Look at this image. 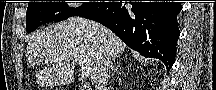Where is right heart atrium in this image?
<instances>
[{"label":"right heart atrium","mask_w":216,"mask_h":90,"mask_svg":"<svg viewBox=\"0 0 216 90\" xmlns=\"http://www.w3.org/2000/svg\"><path fill=\"white\" fill-rule=\"evenodd\" d=\"M73 6H70L71 10H85L86 6H82L83 2H72Z\"/></svg>","instance_id":"d8ad5b80"}]
</instances>
